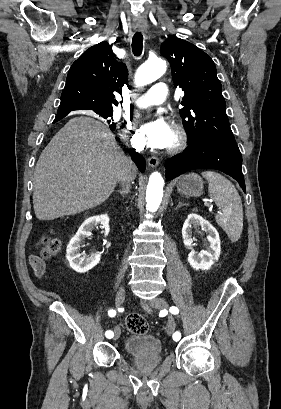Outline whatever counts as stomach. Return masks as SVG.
<instances>
[{"mask_svg": "<svg viewBox=\"0 0 281 409\" xmlns=\"http://www.w3.org/2000/svg\"><path fill=\"white\" fill-rule=\"evenodd\" d=\"M203 180L199 174L190 172V174H184L180 176L177 182V188L179 192L187 194V196H200L203 190Z\"/></svg>", "mask_w": 281, "mask_h": 409, "instance_id": "stomach-1", "label": "stomach"}]
</instances>
